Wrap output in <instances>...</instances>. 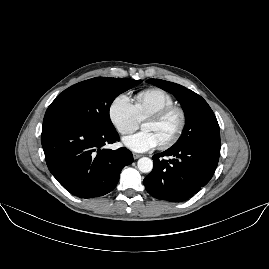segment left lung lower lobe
I'll return each instance as SVG.
<instances>
[{
  "instance_id": "0a47b994",
  "label": "left lung lower lobe",
  "mask_w": 269,
  "mask_h": 269,
  "mask_svg": "<svg viewBox=\"0 0 269 269\" xmlns=\"http://www.w3.org/2000/svg\"><path fill=\"white\" fill-rule=\"evenodd\" d=\"M220 148L209 144L175 146L155 154L153 170L144 179L147 192L162 200H188L212 178ZM164 156L171 160L163 159Z\"/></svg>"
}]
</instances>
